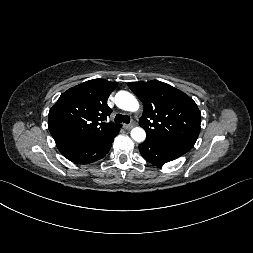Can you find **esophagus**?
<instances>
[{
    "mask_svg": "<svg viewBox=\"0 0 253 253\" xmlns=\"http://www.w3.org/2000/svg\"><path fill=\"white\" fill-rule=\"evenodd\" d=\"M134 127L133 124H124V128L127 129V130H130Z\"/></svg>",
    "mask_w": 253,
    "mask_h": 253,
    "instance_id": "esophagus-1",
    "label": "esophagus"
}]
</instances>
